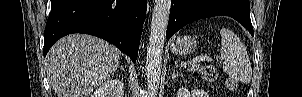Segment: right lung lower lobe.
<instances>
[{
	"mask_svg": "<svg viewBox=\"0 0 302 97\" xmlns=\"http://www.w3.org/2000/svg\"><path fill=\"white\" fill-rule=\"evenodd\" d=\"M146 0H52L44 32V56L61 37L94 35L114 44L136 61Z\"/></svg>",
	"mask_w": 302,
	"mask_h": 97,
	"instance_id": "obj_1",
	"label": "right lung lower lobe"
}]
</instances>
